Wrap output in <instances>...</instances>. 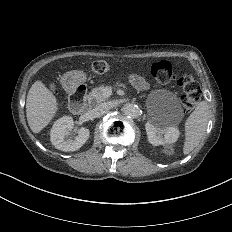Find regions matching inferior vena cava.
<instances>
[{"label": "inferior vena cava", "mask_w": 232, "mask_h": 232, "mask_svg": "<svg viewBox=\"0 0 232 232\" xmlns=\"http://www.w3.org/2000/svg\"><path fill=\"white\" fill-rule=\"evenodd\" d=\"M116 106V103L114 101H108V102H103L101 104H99L96 109L98 111H105V110H109L112 109Z\"/></svg>", "instance_id": "inferior-vena-cava-1"}]
</instances>
